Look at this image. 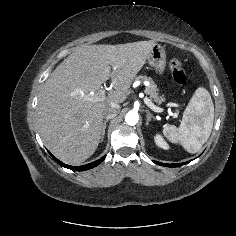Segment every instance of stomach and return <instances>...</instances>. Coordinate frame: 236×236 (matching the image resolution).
Listing matches in <instances>:
<instances>
[{
	"label": "stomach",
	"mask_w": 236,
	"mask_h": 236,
	"mask_svg": "<svg viewBox=\"0 0 236 236\" xmlns=\"http://www.w3.org/2000/svg\"><path fill=\"white\" fill-rule=\"evenodd\" d=\"M150 66L154 67L156 71L162 75L166 66L165 49L160 44H155L148 56Z\"/></svg>",
	"instance_id": "1"
}]
</instances>
